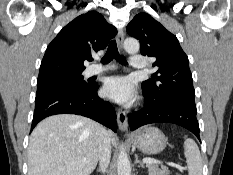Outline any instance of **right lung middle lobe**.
<instances>
[{
	"instance_id": "dd1d6c3e",
	"label": "right lung middle lobe",
	"mask_w": 233,
	"mask_h": 175,
	"mask_svg": "<svg viewBox=\"0 0 233 175\" xmlns=\"http://www.w3.org/2000/svg\"><path fill=\"white\" fill-rule=\"evenodd\" d=\"M88 86L90 84L83 80L81 73L52 75L38 78L36 95L49 90L84 89Z\"/></svg>"
}]
</instances>
